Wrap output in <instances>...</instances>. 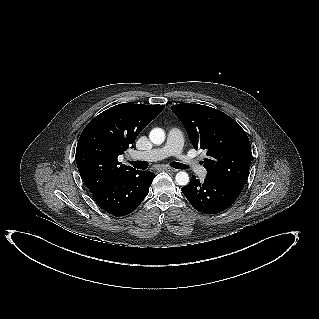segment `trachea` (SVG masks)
I'll list each match as a JSON object with an SVG mask.
<instances>
[{
    "mask_svg": "<svg viewBox=\"0 0 319 319\" xmlns=\"http://www.w3.org/2000/svg\"><path fill=\"white\" fill-rule=\"evenodd\" d=\"M137 169H147L148 163L146 161H132L130 162ZM171 166L175 169H186L187 167L178 162H172Z\"/></svg>",
    "mask_w": 319,
    "mask_h": 319,
    "instance_id": "obj_1",
    "label": "trachea"
}]
</instances>
